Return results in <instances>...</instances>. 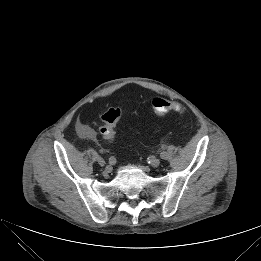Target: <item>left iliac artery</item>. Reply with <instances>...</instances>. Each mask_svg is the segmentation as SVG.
Here are the masks:
<instances>
[{
  "mask_svg": "<svg viewBox=\"0 0 261 261\" xmlns=\"http://www.w3.org/2000/svg\"><path fill=\"white\" fill-rule=\"evenodd\" d=\"M160 158L166 160L168 158V153L166 151H161L159 154Z\"/></svg>",
  "mask_w": 261,
  "mask_h": 261,
  "instance_id": "44dca946",
  "label": "left iliac artery"
}]
</instances>
